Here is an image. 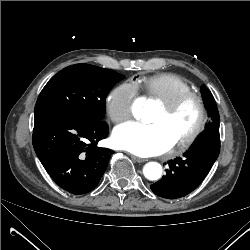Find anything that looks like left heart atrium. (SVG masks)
Returning <instances> with one entry per match:
<instances>
[{
    "mask_svg": "<svg viewBox=\"0 0 250 250\" xmlns=\"http://www.w3.org/2000/svg\"><path fill=\"white\" fill-rule=\"evenodd\" d=\"M112 143L138 156L159 155L174 145L161 125L134 121L119 125L113 132Z\"/></svg>",
    "mask_w": 250,
    "mask_h": 250,
    "instance_id": "39dd6f15",
    "label": "left heart atrium"
}]
</instances>
